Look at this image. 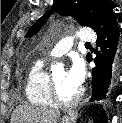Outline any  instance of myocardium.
<instances>
[{"label":"myocardium","mask_w":122,"mask_h":123,"mask_svg":"<svg viewBox=\"0 0 122 123\" xmlns=\"http://www.w3.org/2000/svg\"><path fill=\"white\" fill-rule=\"evenodd\" d=\"M83 93L84 90L80 88L79 91L73 97L68 99L62 98L58 92V88L53 78V75L49 76V94L53 103L61 106H72L80 101L83 96Z\"/></svg>","instance_id":"obj_1"}]
</instances>
